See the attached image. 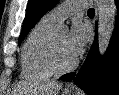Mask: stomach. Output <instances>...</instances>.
Listing matches in <instances>:
<instances>
[{
	"label": "stomach",
	"instance_id": "1",
	"mask_svg": "<svg viewBox=\"0 0 119 95\" xmlns=\"http://www.w3.org/2000/svg\"><path fill=\"white\" fill-rule=\"evenodd\" d=\"M62 95H75L72 91L65 90L63 91Z\"/></svg>",
	"mask_w": 119,
	"mask_h": 95
}]
</instances>
